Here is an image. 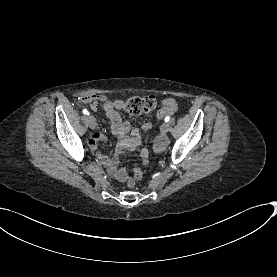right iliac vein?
I'll return each instance as SVG.
<instances>
[{"instance_id":"63e3f726","label":"right iliac vein","mask_w":277,"mask_h":277,"mask_svg":"<svg viewBox=\"0 0 277 277\" xmlns=\"http://www.w3.org/2000/svg\"><path fill=\"white\" fill-rule=\"evenodd\" d=\"M88 123H89V126H90L91 129H95L96 120H95L94 116H92V115L88 116Z\"/></svg>"}]
</instances>
